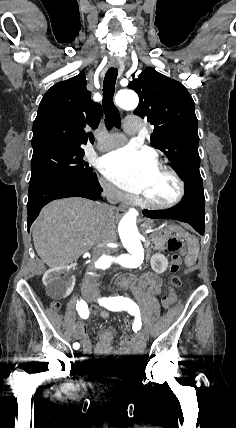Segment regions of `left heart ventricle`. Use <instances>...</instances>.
Instances as JSON below:
<instances>
[{
	"label": "left heart ventricle",
	"instance_id": "obj_1",
	"mask_svg": "<svg viewBox=\"0 0 236 428\" xmlns=\"http://www.w3.org/2000/svg\"><path fill=\"white\" fill-rule=\"evenodd\" d=\"M176 191L174 180L162 169H155L146 180L141 195L158 202H166L175 196Z\"/></svg>",
	"mask_w": 236,
	"mask_h": 428
}]
</instances>
